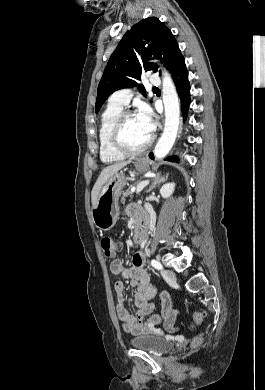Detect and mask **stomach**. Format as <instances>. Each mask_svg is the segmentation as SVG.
<instances>
[{"label": "stomach", "instance_id": "0dacf381", "mask_svg": "<svg viewBox=\"0 0 265 390\" xmlns=\"http://www.w3.org/2000/svg\"><path fill=\"white\" fill-rule=\"evenodd\" d=\"M150 162L146 158H139L135 162L138 172L149 170ZM126 184L123 172L113 175L102 187L97 205L93 208V222L97 228L103 231L110 230L119 217L118 200Z\"/></svg>", "mask_w": 265, "mask_h": 390}]
</instances>
